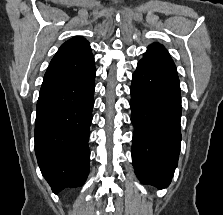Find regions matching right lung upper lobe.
<instances>
[{
  "label": "right lung upper lobe",
  "mask_w": 223,
  "mask_h": 215,
  "mask_svg": "<svg viewBox=\"0 0 223 215\" xmlns=\"http://www.w3.org/2000/svg\"><path fill=\"white\" fill-rule=\"evenodd\" d=\"M94 67L89 42L82 37H74L62 44L51 60L41 89L79 79Z\"/></svg>",
  "instance_id": "1"
}]
</instances>
